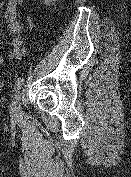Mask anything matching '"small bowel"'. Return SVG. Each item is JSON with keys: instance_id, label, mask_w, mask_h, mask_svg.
I'll return each mask as SVG.
<instances>
[{"instance_id": "c3829d8e", "label": "small bowel", "mask_w": 131, "mask_h": 177, "mask_svg": "<svg viewBox=\"0 0 131 177\" xmlns=\"http://www.w3.org/2000/svg\"><path fill=\"white\" fill-rule=\"evenodd\" d=\"M24 4L25 0H8L4 15L5 20L7 22V29L14 35L11 41V45L13 48L12 57L14 58H22L25 53V48L23 47V40L21 37L22 25L17 19L18 8L23 7ZM26 21L29 28L33 29L34 25L29 15H27ZM2 62L3 57L0 55V64Z\"/></svg>"}]
</instances>
